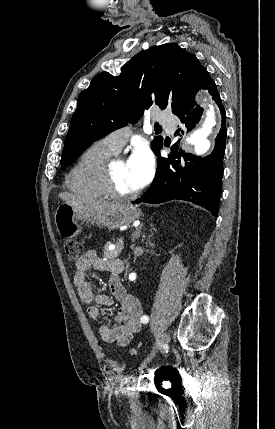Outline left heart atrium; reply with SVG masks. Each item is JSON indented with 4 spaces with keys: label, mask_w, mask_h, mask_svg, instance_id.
<instances>
[{
    "label": "left heart atrium",
    "mask_w": 275,
    "mask_h": 429,
    "mask_svg": "<svg viewBox=\"0 0 275 429\" xmlns=\"http://www.w3.org/2000/svg\"><path fill=\"white\" fill-rule=\"evenodd\" d=\"M131 181L136 189L149 180L153 169V157L146 144H138L126 161Z\"/></svg>",
    "instance_id": "left-heart-atrium-1"
}]
</instances>
